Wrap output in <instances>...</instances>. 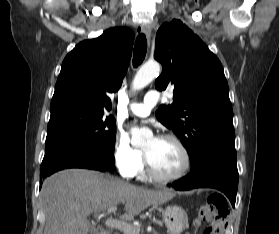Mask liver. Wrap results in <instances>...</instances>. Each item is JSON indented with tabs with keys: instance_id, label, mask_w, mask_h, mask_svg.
Segmentation results:
<instances>
[{
	"instance_id": "6515ba94",
	"label": "liver",
	"mask_w": 279,
	"mask_h": 234,
	"mask_svg": "<svg viewBox=\"0 0 279 234\" xmlns=\"http://www.w3.org/2000/svg\"><path fill=\"white\" fill-rule=\"evenodd\" d=\"M173 196L169 191L145 189L93 170H63L47 178L41 189L44 234H87L92 213L122 202L125 213L121 219L133 220L141 211Z\"/></svg>"
}]
</instances>
